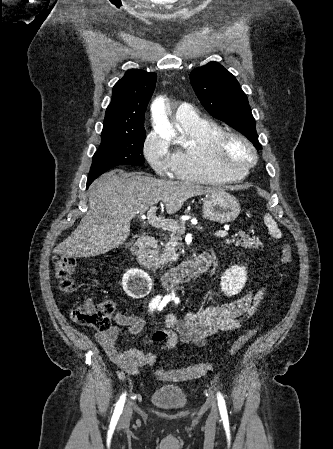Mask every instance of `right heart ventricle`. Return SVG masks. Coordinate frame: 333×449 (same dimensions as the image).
<instances>
[{
    "mask_svg": "<svg viewBox=\"0 0 333 449\" xmlns=\"http://www.w3.org/2000/svg\"><path fill=\"white\" fill-rule=\"evenodd\" d=\"M181 143L174 152L173 175L195 183H220L240 179L224 177L213 171L208 157L209 141L223 129L215 122L197 119L191 123H178Z\"/></svg>",
    "mask_w": 333,
    "mask_h": 449,
    "instance_id": "e07e8e85",
    "label": "right heart ventricle"
}]
</instances>
